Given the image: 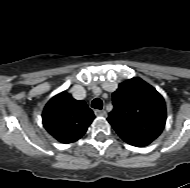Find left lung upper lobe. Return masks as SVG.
Listing matches in <instances>:
<instances>
[{
	"label": "left lung upper lobe",
	"mask_w": 190,
	"mask_h": 188,
	"mask_svg": "<svg viewBox=\"0 0 190 188\" xmlns=\"http://www.w3.org/2000/svg\"><path fill=\"white\" fill-rule=\"evenodd\" d=\"M113 105L107 119L112 127L157 137L165 127L167 115L163 97L138 77L119 85L113 93Z\"/></svg>",
	"instance_id": "1"
}]
</instances>
